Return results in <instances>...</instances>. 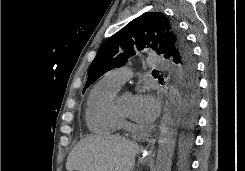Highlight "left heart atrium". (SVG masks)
Listing matches in <instances>:
<instances>
[{"label": "left heart atrium", "mask_w": 245, "mask_h": 171, "mask_svg": "<svg viewBox=\"0 0 245 171\" xmlns=\"http://www.w3.org/2000/svg\"><path fill=\"white\" fill-rule=\"evenodd\" d=\"M159 109L158 99L151 92L144 91L134 96L131 116L140 123H150L157 117Z\"/></svg>", "instance_id": "39dd6f15"}]
</instances>
